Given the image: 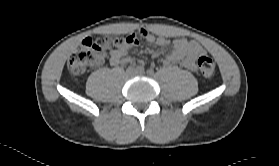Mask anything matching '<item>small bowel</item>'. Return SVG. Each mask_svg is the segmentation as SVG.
<instances>
[{"label":"small bowel","mask_w":279,"mask_h":166,"mask_svg":"<svg viewBox=\"0 0 279 166\" xmlns=\"http://www.w3.org/2000/svg\"><path fill=\"white\" fill-rule=\"evenodd\" d=\"M130 35L134 36L133 42L111 55L110 63L114 66L128 64L132 59L128 57L129 51L138 44L140 39L147 43H156L158 46L167 47L172 45L173 51L167 56L166 61L170 64L180 63L183 67L195 71L197 58L204 54V48L193 40L177 38L173 41L163 36L148 33L145 29H139Z\"/></svg>","instance_id":"1"}]
</instances>
